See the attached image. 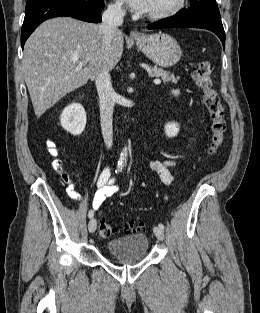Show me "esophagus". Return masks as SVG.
Masks as SVG:
<instances>
[{
    "label": "esophagus",
    "mask_w": 260,
    "mask_h": 313,
    "mask_svg": "<svg viewBox=\"0 0 260 313\" xmlns=\"http://www.w3.org/2000/svg\"><path fill=\"white\" fill-rule=\"evenodd\" d=\"M130 36L133 39H139L141 37V34L138 31H131Z\"/></svg>",
    "instance_id": "obj_1"
}]
</instances>
